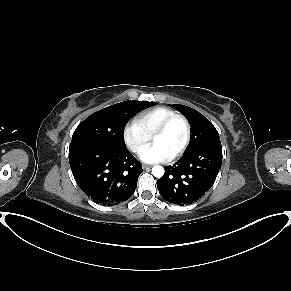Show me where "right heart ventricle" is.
<instances>
[{
    "label": "right heart ventricle",
    "instance_id": "right-heart-ventricle-1",
    "mask_svg": "<svg viewBox=\"0 0 291 291\" xmlns=\"http://www.w3.org/2000/svg\"><path fill=\"white\" fill-rule=\"evenodd\" d=\"M176 112L166 107H156L139 113L135 121L151 136L154 131Z\"/></svg>",
    "mask_w": 291,
    "mask_h": 291
}]
</instances>
